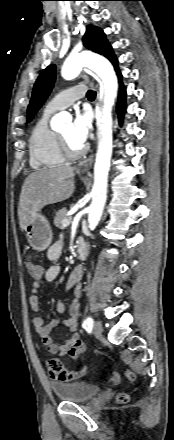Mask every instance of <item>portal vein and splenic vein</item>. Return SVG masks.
<instances>
[{
  "mask_svg": "<svg viewBox=\"0 0 174 440\" xmlns=\"http://www.w3.org/2000/svg\"><path fill=\"white\" fill-rule=\"evenodd\" d=\"M70 219H64L63 221H62V226L63 227H67V226H69L70 225Z\"/></svg>",
  "mask_w": 174,
  "mask_h": 440,
  "instance_id": "1",
  "label": "portal vein and splenic vein"
}]
</instances>
